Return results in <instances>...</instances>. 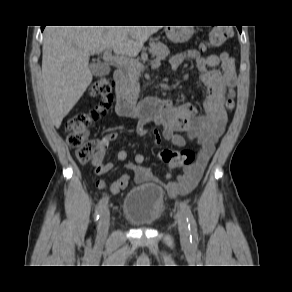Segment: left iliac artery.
Here are the masks:
<instances>
[{
    "instance_id": "left-iliac-artery-1",
    "label": "left iliac artery",
    "mask_w": 292,
    "mask_h": 292,
    "mask_svg": "<svg viewBox=\"0 0 292 292\" xmlns=\"http://www.w3.org/2000/svg\"><path fill=\"white\" fill-rule=\"evenodd\" d=\"M180 207L186 216V220H187L188 228L190 232V240L195 242L198 240V233H197V225H196L194 216L191 212L190 207L186 203H183V202L180 203Z\"/></svg>"
}]
</instances>
